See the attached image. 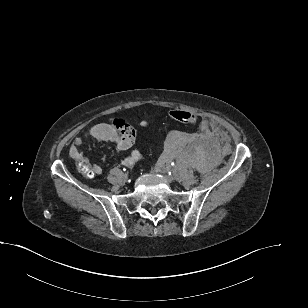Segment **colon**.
<instances>
[{
    "mask_svg": "<svg viewBox=\"0 0 308 308\" xmlns=\"http://www.w3.org/2000/svg\"><path fill=\"white\" fill-rule=\"evenodd\" d=\"M169 114L173 120L185 125H193L198 121L195 114L183 110H173ZM76 166L77 169L86 176H91L93 174L88 160L83 156L76 158Z\"/></svg>",
    "mask_w": 308,
    "mask_h": 308,
    "instance_id": "obj_1",
    "label": "colon"
}]
</instances>
